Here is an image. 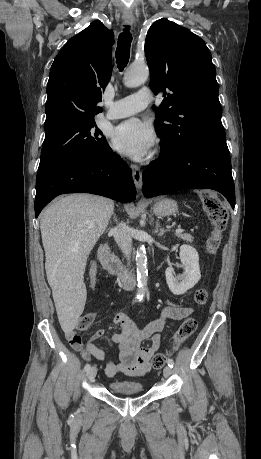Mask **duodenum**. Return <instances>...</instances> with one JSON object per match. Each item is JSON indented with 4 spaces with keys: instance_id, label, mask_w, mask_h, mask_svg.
<instances>
[{
    "instance_id": "1",
    "label": "duodenum",
    "mask_w": 261,
    "mask_h": 459,
    "mask_svg": "<svg viewBox=\"0 0 261 459\" xmlns=\"http://www.w3.org/2000/svg\"><path fill=\"white\" fill-rule=\"evenodd\" d=\"M100 258L108 272L122 280L125 284L131 285L136 281L134 272L125 267L117 256H115L108 244H103L99 249Z\"/></svg>"
}]
</instances>
